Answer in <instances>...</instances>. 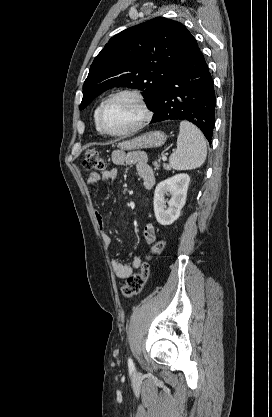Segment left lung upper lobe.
Here are the masks:
<instances>
[{"instance_id": "obj_1", "label": "left lung upper lobe", "mask_w": 272, "mask_h": 417, "mask_svg": "<svg viewBox=\"0 0 272 417\" xmlns=\"http://www.w3.org/2000/svg\"><path fill=\"white\" fill-rule=\"evenodd\" d=\"M198 50L187 28L167 18L157 17L120 32L94 59L80 110L104 90L121 86L142 90L147 107L153 110L167 81Z\"/></svg>"}]
</instances>
